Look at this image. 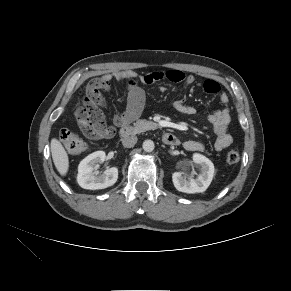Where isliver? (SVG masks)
I'll return each mask as SVG.
<instances>
[{
	"label": "liver",
	"instance_id": "1",
	"mask_svg": "<svg viewBox=\"0 0 291 291\" xmlns=\"http://www.w3.org/2000/svg\"><path fill=\"white\" fill-rule=\"evenodd\" d=\"M52 159L58 172L65 176L69 168V158L64 147L59 140L53 138L51 140Z\"/></svg>",
	"mask_w": 291,
	"mask_h": 291
}]
</instances>
